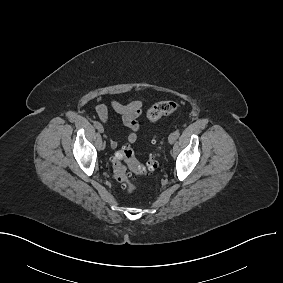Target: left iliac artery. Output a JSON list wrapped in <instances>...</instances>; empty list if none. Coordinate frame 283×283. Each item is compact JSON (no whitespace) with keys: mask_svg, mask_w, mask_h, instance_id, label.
I'll return each mask as SVG.
<instances>
[{"mask_svg":"<svg viewBox=\"0 0 283 283\" xmlns=\"http://www.w3.org/2000/svg\"><path fill=\"white\" fill-rule=\"evenodd\" d=\"M175 135H176V137L178 138L179 135H180V131H179V130L175 131Z\"/></svg>","mask_w":283,"mask_h":283,"instance_id":"obj_1","label":"left iliac artery"}]
</instances>
